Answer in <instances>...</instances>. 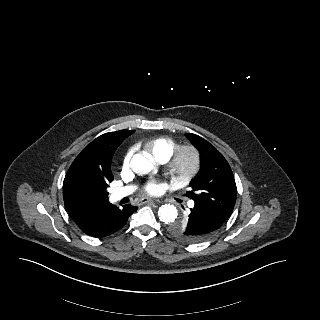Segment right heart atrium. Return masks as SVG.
I'll list each match as a JSON object with an SVG mask.
<instances>
[{"label": "right heart atrium", "instance_id": "1", "mask_svg": "<svg viewBox=\"0 0 320 320\" xmlns=\"http://www.w3.org/2000/svg\"><path fill=\"white\" fill-rule=\"evenodd\" d=\"M131 155H132V152L130 150L127 151V153L125 154V156L123 158V166L124 167H127L129 165Z\"/></svg>", "mask_w": 320, "mask_h": 320}]
</instances>
